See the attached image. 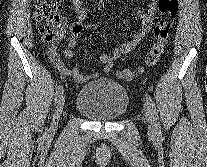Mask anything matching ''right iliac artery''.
<instances>
[{
  "instance_id": "1",
  "label": "right iliac artery",
  "mask_w": 207,
  "mask_h": 167,
  "mask_svg": "<svg viewBox=\"0 0 207 167\" xmlns=\"http://www.w3.org/2000/svg\"><path fill=\"white\" fill-rule=\"evenodd\" d=\"M63 92H64L63 86H60L57 89V92H56V95H55V99H54L55 103H57V101L61 98Z\"/></svg>"
}]
</instances>
